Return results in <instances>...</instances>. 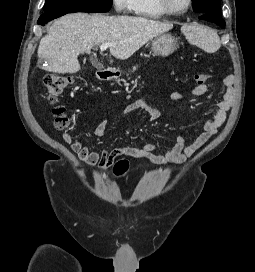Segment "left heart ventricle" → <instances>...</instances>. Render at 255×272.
I'll use <instances>...</instances> for the list:
<instances>
[{
    "mask_svg": "<svg viewBox=\"0 0 255 272\" xmlns=\"http://www.w3.org/2000/svg\"><path fill=\"white\" fill-rule=\"evenodd\" d=\"M169 5L174 10L184 9L187 5V0H168Z\"/></svg>",
    "mask_w": 255,
    "mask_h": 272,
    "instance_id": "1",
    "label": "left heart ventricle"
}]
</instances>
